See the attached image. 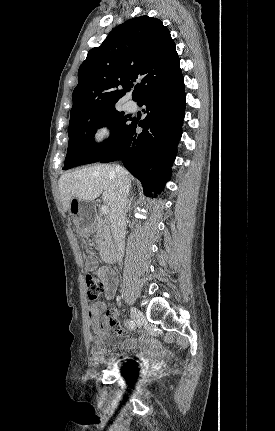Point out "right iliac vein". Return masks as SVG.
<instances>
[{"label": "right iliac vein", "mask_w": 275, "mask_h": 431, "mask_svg": "<svg viewBox=\"0 0 275 431\" xmlns=\"http://www.w3.org/2000/svg\"><path fill=\"white\" fill-rule=\"evenodd\" d=\"M130 316L133 321L137 322L142 317V313L138 309L132 307L130 309Z\"/></svg>", "instance_id": "63e3f726"}]
</instances>
